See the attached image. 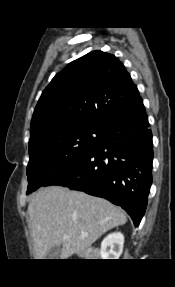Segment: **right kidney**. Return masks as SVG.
Here are the masks:
<instances>
[{"mask_svg": "<svg viewBox=\"0 0 175 287\" xmlns=\"http://www.w3.org/2000/svg\"><path fill=\"white\" fill-rule=\"evenodd\" d=\"M124 236L115 232L106 236L101 243L100 255L102 259H119L123 251Z\"/></svg>", "mask_w": 175, "mask_h": 287, "instance_id": "ca27d5eb", "label": "right kidney"}]
</instances>
